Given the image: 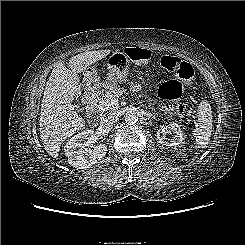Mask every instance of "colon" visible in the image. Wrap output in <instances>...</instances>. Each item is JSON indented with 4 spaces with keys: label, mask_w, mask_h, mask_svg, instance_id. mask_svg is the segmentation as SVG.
<instances>
[{
    "label": "colon",
    "mask_w": 245,
    "mask_h": 245,
    "mask_svg": "<svg viewBox=\"0 0 245 245\" xmlns=\"http://www.w3.org/2000/svg\"><path fill=\"white\" fill-rule=\"evenodd\" d=\"M130 59L138 62H146L150 59L151 52L147 49L131 48L127 50ZM161 66L174 73L178 80H169L164 82L159 88V97L163 102L171 103L173 110L183 115L186 111V105L179 100L182 94V83L192 84L194 77L193 67L182 59L165 55L160 59Z\"/></svg>",
    "instance_id": "1"
}]
</instances>
